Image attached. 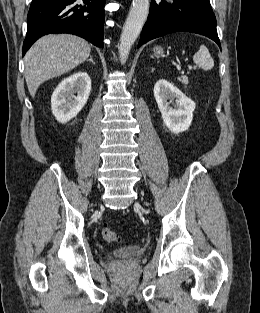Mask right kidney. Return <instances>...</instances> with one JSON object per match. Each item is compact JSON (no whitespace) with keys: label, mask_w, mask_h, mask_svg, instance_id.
Segmentation results:
<instances>
[{"label":"right kidney","mask_w":260,"mask_h":313,"mask_svg":"<svg viewBox=\"0 0 260 313\" xmlns=\"http://www.w3.org/2000/svg\"><path fill=\"white\" fill-rule=\"evenodd\" d=\"M90 92L91 79L84 71L76 72L61 81L51 97V109L57 121L66 123L77 116Z\"/></svg>","instance_id":"ca27d5eb"}]
</instances>
